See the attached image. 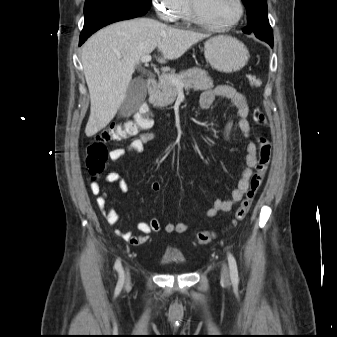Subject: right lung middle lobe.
<instances>
[{"label": "right lung middle lobe", "instance_id": "1", "mask_svg": "<svg viewBox=\"0 0 337 337\" xmlns=\"http://www.w3.org/2000/svg\"><path fill=\"white\" fill-rule=\"evenodd\" d=\"M117 4L138 9H150L151 0H86L84 14L101 6Z\"/></svg>", "mask_w": 337, "mask_h": 337}]
</instances>
